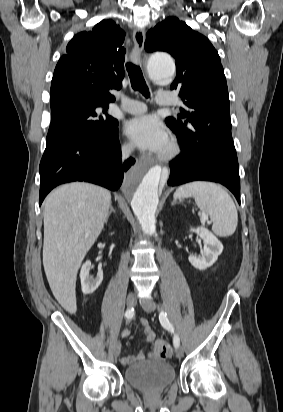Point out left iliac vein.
<instances>
[{
    "instance_id": "1",
    "label": "left iliac vein",
    "mask_w": 283,
    "mask_h": 412,
    "mask_svg": "<svg viewBox=\"0 0 283 412\" xmlns=\"http://www.w3.org/2000/svg\"><path fill=\"white\" fill-rule=\"evenodd\" d=\"M142 307L147 313H151L156 309V303L153 300L142 301ZM176 356L180 359L183 357V350L181 347H177L175 351Z\"/></svg>"
}]
</instances>
